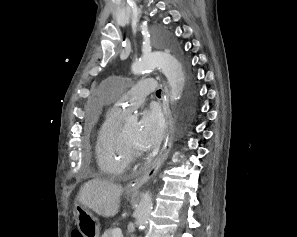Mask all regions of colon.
<instances>
[{
    "label": "colon",
    "instance_id": "obj_1",
    "mask_svg": "<svg viewBox=\"0 0 297 237\" xmlns=\"http://www.w3.org/2000/svg\"><path fill=\"white\" fill-rule=\"evenodd\" d=\"M72 237H83L79 232H77V231H74L73 233H72Z\"/></svg>",
    "mask_w": 297,
    "mask_h": 237
}]
</instances>
